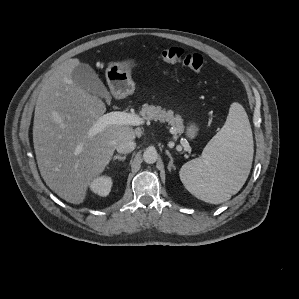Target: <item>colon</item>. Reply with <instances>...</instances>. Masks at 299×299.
I'll return each mask as SVG.
<instances>
[{"label": "colon", "instance_id": "obj_1", "mask_svg": "<svg viewBox=\"0 0 299 299\" xmlns=\"http://www.w3.org/2000/svg\"><path fill=\"white\" fill-rule=\"evenodd\" d=\"M161 58L166 63H179L195 72L201 71L204 66V59L200 54L185 53L182 48L176 46L164 49Z\"/></svg>", "mask_w": 299, "mask_h": 299}]
</instances>
